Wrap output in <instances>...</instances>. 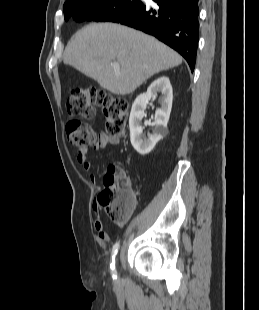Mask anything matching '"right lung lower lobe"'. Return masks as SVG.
<instances>
[{"label": "right lung lower lobe", "instance_id": "98d812e1", "mask_svg": "<svg viewBox=\"0 0 259 310\" xmlns=\"http://www.w3.org/2000/svg\"><path fill=\"white\" fill-rule=\"evenodd\" d=\"M158 8L142 5L121 24L142 30L179 52L194 70L199 37L198 0H153Z\"/></svg>", "mask_w": 259, "mask_h": 310}]
</instances>
